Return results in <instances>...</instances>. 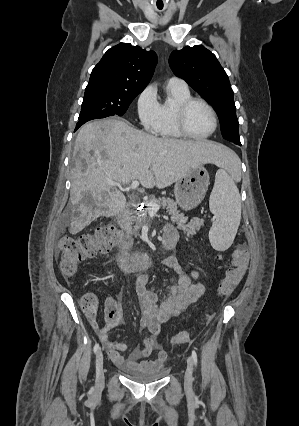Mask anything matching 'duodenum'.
I'll list each match as a JSON object with an SVG mask.
<instances>
[{"label": "duodenum", "instance_id": "410a0bca", "mask_svg": "<svg viewBox=\"0 0 299 426\" xmlns=\"http://www.w3.org/2000/svg\"><path fill=\"white\" fill-rule=\"evenodd\" d=\"M135 208V205H130L118 216L117 224L120 228H125ZM162 244L165 249H171L174 246V239L170 233L164 232ZM130 248L131 242L128 239H125L120 244L118 252V263L120 267L126 272H135L147 266L149 263L148 255L143 253H131Z\"/></svg>", "mask_w": 299, "mask_h": 426}]
</instances>
